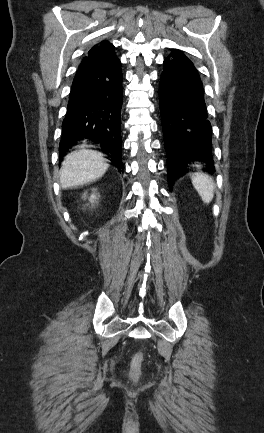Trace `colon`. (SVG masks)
Masks as SVG:
<instances>
[{
  "mask_svg": "<svg viewBox=\"0 0 264 433\" xmlns=\"http://www.w3.org/2000/svg\"><path fill=\"white\" fill-rule=\"evenodd\" d=\"M142 361L143 355L141 352H137L131 360L130 375L134 380L138 379L140 376Z\"/></svg>",
  "mask_w": 264,
  "mask_h": 433,
  "instance_id": "obj_1",
  "label": "colon"
}]
</instances>
